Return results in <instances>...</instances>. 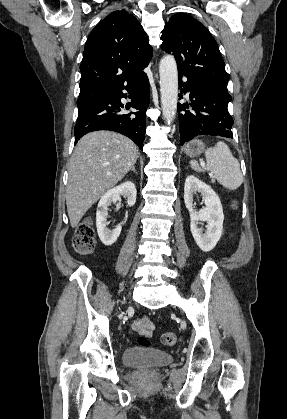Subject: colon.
<instances>
[{
    "label": "colon",
    "mask_w": 287,
    "mask_h": 419,
    "mask_svg": "<svg viewBox=\"0 0 287 419\" xmlns=\"http://www.w3.org/2000/svg\"><path fill=\"white\" fill-rule=\"evenodd\" d=\"M95 235L94 230L89 220L81 223L74 235L73 246L75 250L80 254H88L93 251L95 247ZM161 341L163 345L173 347L177 344L178 338L174 332H166L162 335ZM140 346L148 347L150 341L147 336L141 335L138 338Z\"/></svg>",
    "instance_id": "1"
}]
</instances>
